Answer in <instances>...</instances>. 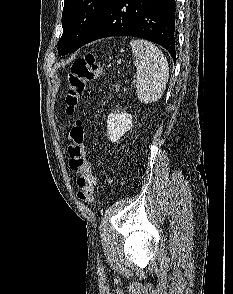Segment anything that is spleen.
<instances>
[{
  "label": "spleen",
  "mask_w": 233,
  "mask_h": 294,
  "mask_svg": "<svg viewBox=\"0 0 233 294\" xmlns=\"http://www.w3.org/2000/svg\"><path fill=\"white\" fill-rule=\"evenodd\" d=\"M136 67V94L145 104L160 99L169 78L168 62L162 51L153 43L135 39L130 42Z\"/></svg>",
  "instance_id": "3e777b00"
}]
</instances>
